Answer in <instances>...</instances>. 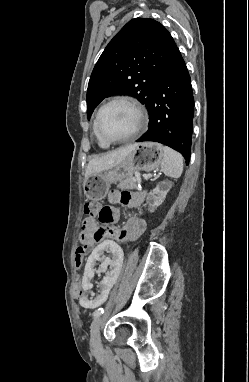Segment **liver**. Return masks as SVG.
I'll use <instances>...</instances> for the list:
<instances>
[{"label":"liver","instance_id":"1","mask_svg":"<svg viewBox=\"0 0 249 382\" xmlns=\"http://www.w3.org/2000/svg\"><path fill=\"white\" fill-rule=\"evenodd\" d=\"M134 147L135 144L128 145L91 159L86 168L85 178H88L93 173L102 172L116 167L129 155Z\"/></svg>","mask_w":249,"mask_h":382}]
</instances>
